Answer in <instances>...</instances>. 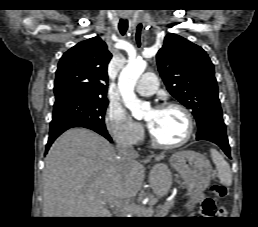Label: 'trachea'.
Listing matches in <instances>:
<instances>
[{
  "instance_id": "1",
  "label": "trachea",
  "mask_w": 258,
  "mask_h": 227,
  "mask_svg": "<svg viewBox=\"0 0 258 227\" xmlns=\"http://www.w3.org/2000/svg\"><path fill=\"white\" fill-rule=\"evenodd\" d=\"M119 31L122 35H125L127 29H128V22L126 20H120L119 22Z\"/></svg>"
}]
</instances>
